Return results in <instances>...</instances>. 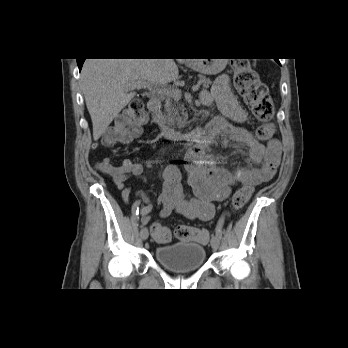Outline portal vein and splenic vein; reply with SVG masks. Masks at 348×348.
<instances>
[{
  "instance_id": "portal-vein-and-splenic-vein-1",
  "label": "portal vein and splenic vein",
  "mask_w": 348,
  "mask_h": 348,
  "mask_svg": "<svg viewBox=\"0 0 348 348\" xmlns=\"http://www.w3.org/2000/svg\"><path fill=\"white\" fill-rule=\"evenodd\" d=\"M130 87L131 88L147 87L150 90L158 92L159 94L167 95V96L173 97L175 99H180L181 95H182L181 90L178 88L167 86V85H152L146 81H136V82L132 83L130 85ZM199 87H200L199 84L194 85L192 87V91H194V92L198 91Z\"/></svg>"
}]
</instances>
